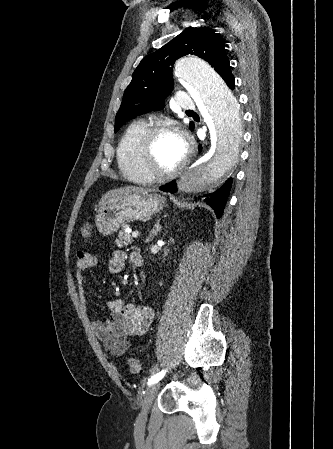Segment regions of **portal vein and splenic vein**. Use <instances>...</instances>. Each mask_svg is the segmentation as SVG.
<instances>
[{
	"label": "portal vein and splenic vein",
	"mask_w": 333,
	"mask_h": 449,
	"mask_svg": "<svg viewBox=\"0 0 333 449\" xmlns=\"http://www.w3.org/2000/svg\"><path fill=\"white\" fill-rule=\"evenodd\" d=\"M138 236H139V232L134 231V232L132 233V237H133V238H138Z\"/></svg>",
	"instance_id": "1"
}]
</instances>
